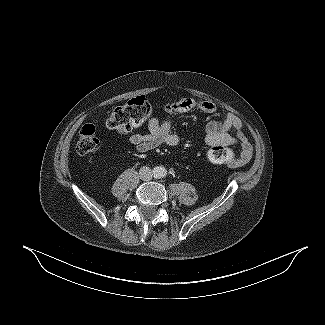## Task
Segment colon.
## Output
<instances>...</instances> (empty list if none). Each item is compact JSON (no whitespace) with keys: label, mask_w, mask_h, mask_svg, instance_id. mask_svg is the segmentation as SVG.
<instances>
[{"label":"colon","mask_w":325,"mask_h":325,"mask_svg":"<svg viewBox=\"0 0 325 325\" xmlns=\"http://www.w3.org/2000/svg\"><path fill=\"white\" fill-rule=\"evenodd\" d=\"M158 108L151 104L145 96L135 97L113 109L107 127L125 133L150 122L156 118ZM99 149L96 127L92 123L85 124L79 131L76 151L80 155L93 153ZM207 160L216 165H233L236 163L231 148L224 145L211 147L206 154Z\"/></svg>","instance_id":"colon-1"}]
</instances>
